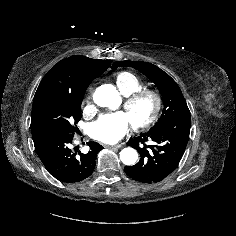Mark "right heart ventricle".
I'll use <instances>...</instances> for the list:
<instances>
[{"instance_id":"right-heart-ventricle-1","label":"right heart ventricle","mask_w":236,"mask_h":236,"mask_svg":"<svg viewBox=\"0 0 236 236\" xmlns=\"http://www.w3.org/2000/svg\"><path fill=\"white\" fill-rule=\"evenodd\" d=\"M115 85L124 96H128L145 87L143 81L139 77L127 71L119 72L115 76Z\"/></svg>"}]
</instances>
